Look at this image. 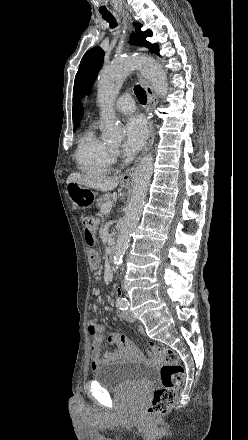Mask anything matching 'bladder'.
Here are the masks:
<instances>
[{"label":"bladder","instance_id":"bladder-1","mask_svg":"<svg viewBox=\"0 0 248 440\" xmlns=\"http://www.w3.org/2000/svg\"><path fill=\"white\" fill-rule=\"evenodd\" d=\"M155 377V371L142 363L117 360L99 366L93 372V379L110 391L148 390Z\"/></svg>","mask_w":248,"mask_h":440}]
</instances>
